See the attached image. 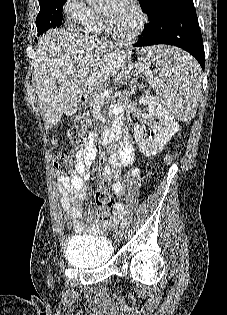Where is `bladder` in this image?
<instances>
[{
  "instance_id": "bladder-1",
  "label": "bladder",
  "mask_w": 227,
  "mask_h": 315,
  "mask_svg": "<svg viewBox=\"0 0 227 315\" xmlns=\"http://www.w3.org/2000/svg\"><path fill=\"white\" fill-rule=\"evenodd\" d=\"M113 245L103 236H75L66 244L64 255L76 267L97 268L111 261Z\"/></svg>"
}]
</instances>
